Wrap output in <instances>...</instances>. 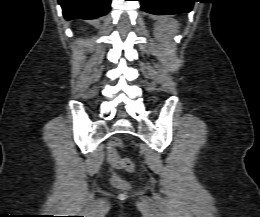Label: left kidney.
Listing matches in <instances>:
<instances>
[{"label":"left kidney","mask_w":260,"mask_h":217,"mask_svg":"<svg viewBox=\"0 0 260 217\" xmlns=\"http://www.w3.org/2000/svg\"><path fill=\"white\" fill-rule=\"evenodd\" d=\"M162 31H169L170 34L174 33V30L172 27H162L159 23L155 24V28H154V34L156 37H158Z\"/></svg>","instance_id":"left-kidney-1"}]
</instances>
